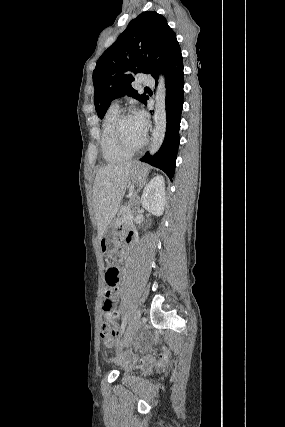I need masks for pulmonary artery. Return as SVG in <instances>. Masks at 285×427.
I'll return each mask as SVG.
<instances>
[{
    "label": "pulmonary artery",
    "mask_w": 285,
    "mask_h": 427,
    "mask_svg": "<svg viewBox=\"0 0 285 427\" xmlns=\"http://www.w3.org/2000/svg\"><path fill=\"white\" fill-rule=\"evenodd\" d=\"M140 83L145 86H151L154 84V79L149 75H143L140 79ZM113 104L118 106V100H115Z\"/></svg>",
    "instance_id": "obj_1"
}]
</instances>
